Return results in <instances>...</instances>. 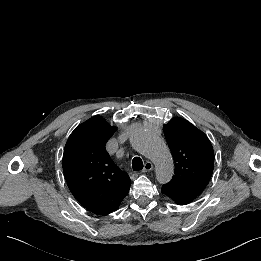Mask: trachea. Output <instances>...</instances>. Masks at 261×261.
<instances>
[{
	"mask_svg": "<svg viewBox=\"0 0 261 261\" xmlns=\"http://www.w3.org/2000/svg\"><path fill=\"white\" fill-rule=\"evenodd\" d=\"M143 161L140 157H134L132 160L133 171H139L143 169Z\"/></svg>",
	"mask_w": 261,
	"mask_h": 261,
	"instance_id": "3493384b",
	"label": "trachea"
}]
</instances>
